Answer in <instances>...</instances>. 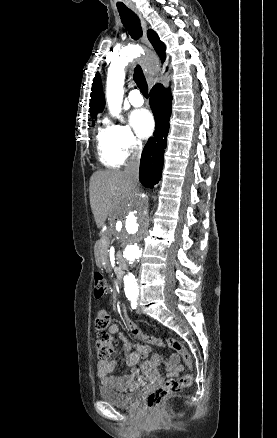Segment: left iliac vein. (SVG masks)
<instances>
[{
    "mask_svg": "<svg viewBox=\"0 0 277 438\" xmlns=\"http://www.w3.org/2000/svg\"><path fill=\"white\" fill-rule=\"evenodd\" d=\"M136 312H137L138 314H141V313H142V309H141L140 306L137 307Z\"/></svg>",
    "mask_w": 277,
    "mask_h": 438,
    "instance_id": "1",
    "label": "left iliac vein"
}]
</instances>
